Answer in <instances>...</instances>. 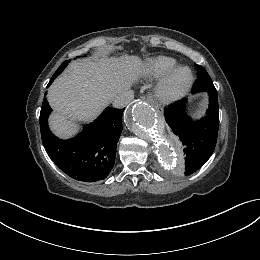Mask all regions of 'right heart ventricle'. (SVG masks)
Returning <instances> with one entry per match:
<instances>
[{"mask_svg":"<svg viewBox=\"0 0 260 260\" xmlns=\"http://www.w3.org/2000/svg\"><path fill=\"white\" fill-rule=\"evenodd\" d=\"M177 60L168 56H157L149 59L144 66V73L148 77H160L172 67L176 66Z\"/></svg>","mask_w":260,"mask_h":260,"instance_id":"e07e8e85","label":"right heart ventricle"}]
</instances>
